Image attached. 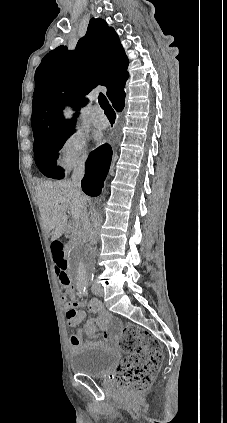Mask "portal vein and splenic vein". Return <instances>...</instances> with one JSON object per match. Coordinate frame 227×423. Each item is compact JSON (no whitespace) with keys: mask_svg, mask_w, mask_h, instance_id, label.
Here are the masks:
<instances>
[{"mask_svg":"<svg viewBox=\"0 0 227 423\" xmlns=\"http://www.w3.org/2000/svg\"><path fill=\"white\" fill-rule=\"evenodd\" d=\"M72 217H75V219H78V217H80L79 211L75 210V213L72 214Z\"/></svg>","mask_w":227,"mask_h":423,"instance_id":"obj_1","label":"portal vein and splenic vein"}]
</instances>
